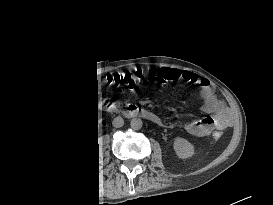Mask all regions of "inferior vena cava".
Here are the masks:
<instances>
[{"mask_svg": "<svg viewBox=\"0 0 273 205\" xmlns=\"http://www.w3.org/2000/svg\"><path fill=\"white\" fill-rule=\"evenodd\" d=\"M124 125V120L122 117H116L113 120V126L116 128L122 127Z\"/></svg>", "mask_w": 273, "mask_h": 205, "instance_id": "inferior-vena-cava-1", "label": "inferior vena cava"}]
</instances>
